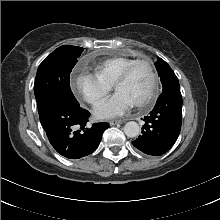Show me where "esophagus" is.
<instances>
[{
  "instance_id": "obj_1",
  "label": "esophagus",
  "mask_w": 220,
  "mask_h": 220,
  "mask_svg": "<svg viewBox=\"0 0 220 220\" xmlns=\"http://www.w3.org/2000/svg\"><path fill=\"white\" fill-rule=\"evenodd\" d=\"M125 122V120L119 119V120H111L109 123L110 125H115V124H122Z\"/></svg>"
}]
</instances>
